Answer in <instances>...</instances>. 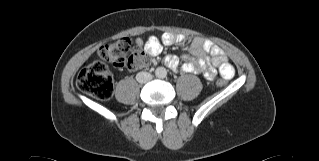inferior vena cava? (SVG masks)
<instances>
[{
	"mask_svg": "<svg viewBox=\"0 0 319 161\" xmlns=\"http://www.w3.org/2000/svg\"><path fill=\"white\" fill-rule=\"evenodd\" d=\"M152 79V75L148 72H139L136 75V80L139 83H147Z\"/></svg>",
	"mask_w": 319,
	"mask_h": 161,
	"instance_id": "1",
	"label": "inferior vena cava"
}]
</instances>
